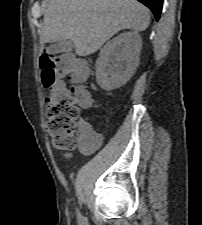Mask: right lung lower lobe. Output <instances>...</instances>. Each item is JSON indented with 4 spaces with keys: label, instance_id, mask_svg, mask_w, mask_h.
I'll list each match as a JSON object with an SVG mask.
<instances>
[{
    "label": "right lung lower lobe",
    "instance_id": "obj_1",
    "mask_svg": "<svg viewBox=\"0 0 202 225\" xmlns=\"http://www.w3.org/2000/svg\"><path fill=\"white\" fill-rule=\"evenodd\" d=\"M138 1L147 6L153 12L156 20H159L163 0H138Z\"/></svg>",
    "mask_w": 202,
    "mask_h": 225
}]
</instances>
